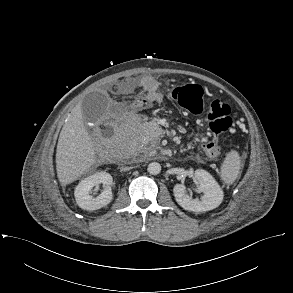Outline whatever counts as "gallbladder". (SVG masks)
<instances>
[{"instance_id":"1","label":"gallbladder","mask_w":293,"mask_h":293,"mask_svg":"<svg viewBox=\"0 0 293 293\" xmlns=\"http://www.w3.org/2000/svg\"><path fill=\"white\" fill-rule=\"evenodd\" d=\"M109 105V98L101 92L87 94L81 104L82 116L85 122L96 123L103 116Z\"/></svg>"}]
</instances>
